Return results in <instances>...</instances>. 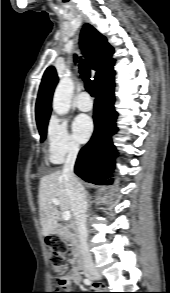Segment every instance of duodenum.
I'll return each mask as SVG.
<instances>
[{
	"instance_id": "obj_1",
	"label": "duodenum",
	"mask_w": 170,
	"mask_h": 293,
	"mask_svg": "<svg viewBox=\"0 0 170 293\" xmlns=\"http://www.w3.org/2000/svg\"><path fill=\"white\" fill-rule=\"evenodd\" d=\"M77 224L74 218L71 219L70 224L67 226L53 225L50 229L51 235H64L68 234L72 230L76 229ZM72 266L75 271L82 270V258L79 253H77L72 259Z\"/></svg>"
}]
</instances>
